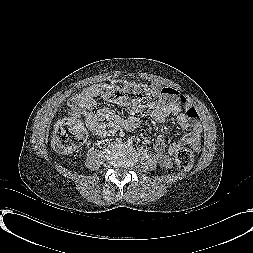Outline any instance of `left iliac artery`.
I'll use <instances>...</instances> for the list:
<instances>
[{
  "instance_id": "1",
  "label": "left iliac artery",
  "mask_w": 253,
  "mask_h": 253,
  "mask_svg": "<svg viewBox=\"0 0 253 253\" xmlns=\"http://www.w3.org/2000/svg\"><path fill=\"white\" fill-rule=\"evenodd\" d=\"M127 143L130 145V144H132V141L128 140Z\"/></svg>"
}]
</instances>
